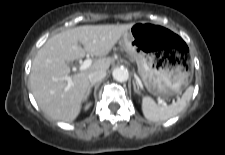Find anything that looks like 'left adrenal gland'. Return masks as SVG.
I'll use <instances>...</instances> for the list:
<instances>
[{
	"mask_svg": "<svg viewBox=\"0 0 225 155\" xmlns=\"http://www.w3.org/2000/svg\"><path fill=\"white\" fill-rule=\"evenodd\" d=\"M133 88H134V92L140 93L139 88L136 87V82L135 81H133Z\"/></svg>",
	"mask_w": 225,
	"mask_h": 155,
	"instance_id": "obj_1",
	"label": "left adrenal gland"
}]
</instances>
